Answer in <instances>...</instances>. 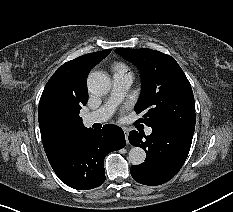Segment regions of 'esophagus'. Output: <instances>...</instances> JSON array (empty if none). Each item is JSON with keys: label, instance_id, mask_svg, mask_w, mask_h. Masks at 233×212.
Returning a JSON list of instances; mask_svg holds the SVG:
<instances>
[{"label": "esophagus", "instance_id": "obj_1", "mask_svg": "<svg viewBox=\"0 0 233 212\" xmlns=\"http://www.w3.org/2000/svg\"><path fill=\"white\" fill-rule=\"evenodd\" d=\"M124 133H125L126 142L129 143V140H128V131L124 130Z\"/></svg>", "mask_w": 233, "mask_h": 212}]
</instances>
